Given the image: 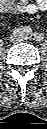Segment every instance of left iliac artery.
<instances>
[{"label":"left iliac artery","mask_w":47,"mask_h":129,"mask_svg":"<svg viewBox=\"0 0 47 129\" xmlns=\"http://www.w3.org/2000/svg\"><path fill=\"white\" fill-rule=\"evenodd\" d=\"M33 38L36 40V41H41L45 38V35L42 34V33H34L33 34Z\"/></svg>","instance_id":"44dca946"}]
</instances>
